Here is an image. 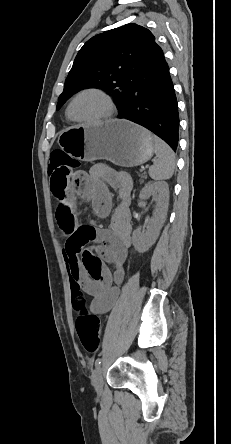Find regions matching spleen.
<instances>
[{
  "mask_svg": "<svg viewBox=\"0 0 231 444\" xmlns=\"http://www.w3.org/2000/svg\"><path fill=\"white\" fill-rule=\"evenodd\" d=\"M156 161L149 168V175L154 180L170 179L175 169V153L163 140L153 137Z\"/></svg>",
  "mask_w": 231,
  "mask_h": 444,
  "instance_id": "3e777b00",
  "label": "spleen"
}]
</instances>
